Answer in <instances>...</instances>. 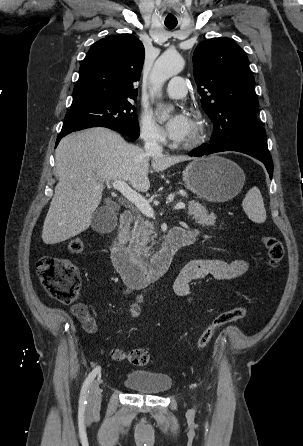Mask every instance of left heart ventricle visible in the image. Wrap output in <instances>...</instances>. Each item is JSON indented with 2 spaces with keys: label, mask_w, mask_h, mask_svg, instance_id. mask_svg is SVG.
<instances>
[{
  "label": "left heart ventricle",
  "mask_w": 303,
  "mask_h": 446,
  "mask_svg": "<svg viewBox=\"0 0 303 446\" xmlns=\"http://www.w3.org/2000/svg\"><path fill=\"white\" fill-rule=\"evenodd\" d=\"M195 128H196L195 120H194L193 117H190V125H189L188 132H187L185 138H184L181 142H186V141H188L189 139H191L192 136L194 135Z\"/></svg>",
  "instance_id": "left-heart-ventricle-1"
}]
</instances>
